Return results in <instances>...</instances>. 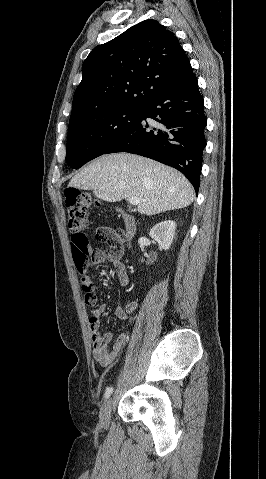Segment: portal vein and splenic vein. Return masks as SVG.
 <instances>
[{"label":"portal vein and splenic vein","instance_id":"obj_1","mask_svg":"<svg viewBox=\"0 0 266 479\" xmlns=\"http://www.w3.org/2000/svg\"><path fill=\"white\" fill-rule=\"evenodd\" d=\"M129 203L131 205H138L140 203V199L138 197H131L129 198Z\"/></svg>","mask_w":266,"mask_h":479}]
</instances>
